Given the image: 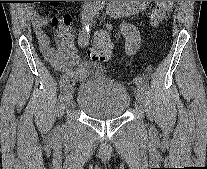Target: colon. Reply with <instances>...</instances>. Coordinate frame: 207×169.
Masks as SVG:
<instances>
[{
  "label": "colon",
  "instance_id": "1",
  "mask_svg": "<svg viewBox=\"0 0 207 169\" xmlns=\"http://www.w3.org/2000/svg\"><path fill=\"white\" fill-rule=\"evenodd\" d=\"M174 1H155V7L150 14V20L153 25L163 22L170 14ZM112 43L110 37L105 32H99L93 39L89 50V56L92 61L103 63L109 60L111 56Z\"/></svg>",
  "mask_w": 207,
  "mask_h": 169
}]
</instances>
